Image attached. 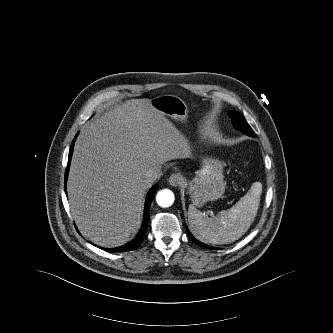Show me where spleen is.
<instances>
[{"label": "spleen", "instance_id": "obj_1", "mask_svg": "<svg viewBox=\"0 0 333 333\" xmlns=\"http://www.w3.org/2000/svg\"><path fill=\"white\" fill-rule=\"evenodd\" d=\"M261 192V183H253L248 193L235 205L213 217H206L194 205H189L190 230L204 243L229 244L238 240L247 232L257 215Z\"/></svg>", "mask_w": 333, "mask_h": 333}]
</instances>
